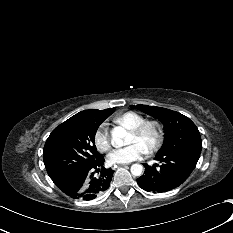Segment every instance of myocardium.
I'll use <instances>...</instances> for the list:
<instances>
[{"label": "myocardium", "instance_id": "f54148a6", "mask_svg": "<svg viewBox=\"0 0 233 233\" xmlns=\"http://www.w3.org/2000/svg\"><path fill=\"white\" fill-rule=\"evenodd\" d=\"M149 130H153L155 136L153 142L147 149V153L153 154L161 147L164 141V127L159 120H145L138 126L130 129V132L137 137H141Z\"/></svg>", "mask_w": 233, "mask_h": 233}]
</instances>
